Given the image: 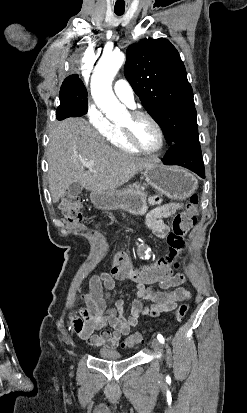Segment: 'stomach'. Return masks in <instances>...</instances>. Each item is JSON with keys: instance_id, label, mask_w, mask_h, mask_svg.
<instances>
[{"instance_id": "1", "label": "stomach", "mask_w": 247, "mask_h": 413, "mask_svg": "<svg viewBox=\"0 0 247 413\" xmlns=\"http://www.w3.org/2000/svg\"><path fill=\"white\" fill-rule=\"evenodd\" d=\"M143 174L148 184L157 188L174 200H184L195 192L198 180L182 166H166L160 162H151L143 168ZM90 198L97 209L113 211L123 209L131 215H145L147 207V194L140 188H125V190H92Z\"/></svg>"}]
</instances>
